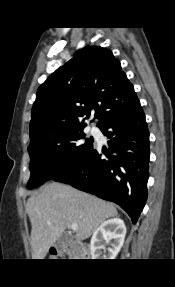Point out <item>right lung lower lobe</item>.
Segmentation results:
<instances>
[{"mask_svg":"<svg viewBox=\"0 0 175 287\" xmlns=\"http://www.w3.org/2000/svg\"><path fill=\"white\" fill-rule=\"evenodd\" d=\"M110 140L108 159L96 148L70 172L54 179L121 206L136 223L147 199L149 132L139 100L99 125ZM105 154V153H104Z\"/></svg>","mask_w":175,"mask_h":287,"instance_id":"obj_1","label":"right lung lower lobe"}]
</instances>
